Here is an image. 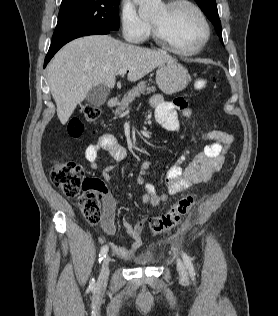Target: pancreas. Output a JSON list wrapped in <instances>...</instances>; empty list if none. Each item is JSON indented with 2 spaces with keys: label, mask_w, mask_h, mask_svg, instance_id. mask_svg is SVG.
<instances>
[{
  "label": "pancreas",
  "mask_w": 278,
  "mask_h": 316,
  "mask_svg": "<svg viewBox=\"0 0 278 316\" xmlns=\"http://www.w3.org/2000/svg\"><path fill=\"white\" fill-rule=\"evenodd\" d=\"M155 87H148L146 81H140L137 86L132 88L126 95H124L123 99L118 105V108L115 110V115L121 114L130 103H132L136 97H140L142 94H150L151 92H155Z\"/></svg>",
  "instance_id": "1"
}]
</instances>
